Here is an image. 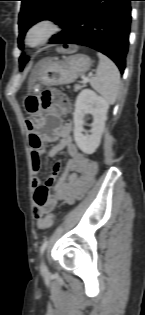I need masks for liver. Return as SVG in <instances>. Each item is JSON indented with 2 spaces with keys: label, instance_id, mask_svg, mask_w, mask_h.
<instances>
[{
  "label": "liver",
  "instance_id": "6515ba94",
  "mask_svg": "<svg viewBox=\"0 0 145 315\" xmlns=\"http://www.w3.org/2000/svg\"><path fill=\"white\" fill-rule=\"evenodd\" d=\"M37 75H38V70H35V71L33 72V75H32V77H31V79H30V84H31L33 81H35Z\"/></svg>",
  "mask_w": 145,
  "mask_h": 315
}]
</instances>
